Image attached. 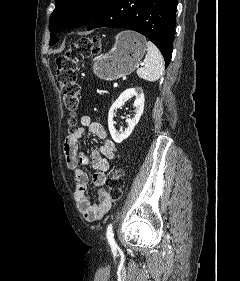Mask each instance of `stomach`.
<instances>
[{"label": "stomach", "mask_w": 240, "mask_h": 281, "mask_svg": "<svg viewBox=\"0 0 240 281\" xmlns=\"http://www.w3.org/2000/svg\"><path fill=\"white\" fill-rule=\"evenodd\" d=\"M146 51V39L133 31H123L116 37L114 47L96 58L94 74L108 81L131 74Z\"/></svg>", "instance_id": "obj_1"}]
</instances>
